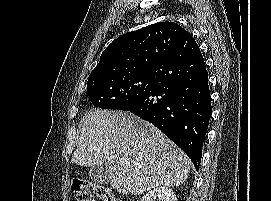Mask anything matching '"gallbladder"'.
Wrapping results in <instances>:
<instances>
[{"label":"gallbladder","mask_w":271,"mask_h":201,"mask_svg":"<svg viewBox=\"0 0 271 201\" xmlns=\"http://www.w3.org/2000/svg\"><path fill=\"white\" fill-rule=\"evenodd\" d=\"M89 176L95 183L108 184L110 182L111 168L108 163L92 167Z\"/></svg>","instance_id":"bac80fb5"}]
</instances>
